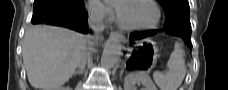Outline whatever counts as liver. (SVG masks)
Listing matches in <instances>:
<instances>
[{
	"mask_svg": "<svg viewBox=\"0 0 228 90\" xmlns=\"http://www.w3.org/2000/svg\"><path fill=\"white\" fill-rule=\"evenodd\" d=\"M89 43L88 37L52 26H33L26 31L22 46L23 63L30 85L56 90L76 70Z\"/></svg>",
	"mask_w": 228,
	"mask_h": 90,
	"instance_id": "6515ba94",
	"label": "liver"
}]
</instances>
